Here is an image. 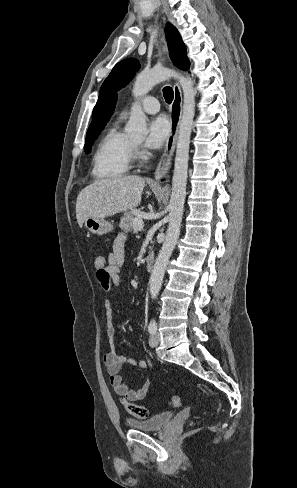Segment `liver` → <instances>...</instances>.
Returning <instances> with one entry per match:
<instances>
[{
	"label": "liver",
	"mask_w": 297,
	"mask_h": 488,
	"mask_svg": "<svg viewBox=\"0 0 297 488\" xmlns=\"http://www.w3.org/2000/svg\"><path fill=\"white\" fill-rule=\"evenodd\" d=\"M144 186L145 180L136 175L100 179L88 185L76 201L79 226L88 217L104 218L136 208Z\"/></svg>",
	"instance_id": "1"
}]
</instances>
